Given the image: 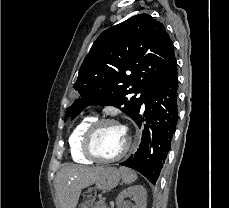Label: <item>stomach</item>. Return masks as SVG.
Segmentation results:
<instances>
[{"mask_svg":"<svg viewBox=\"0 0 229 208\" xmlns=\"http://www.w3.org/2000/svg\"><path fill=\"white\" fill-rule=\"evenodd\" d=\"M105 170L101 172L99 178H97L95 188L93 190H112L116 188L121 180V174L117 168H107L104 166ZM93 200H86L84 204H81L80 208H89Z\"/></svg>","mask_w":229,"mask_h":208,"instance_id":"1","label":"stomach"}]
</instances>
